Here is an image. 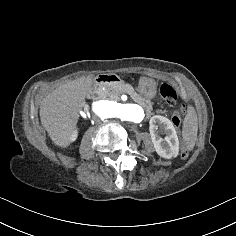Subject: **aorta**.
<instances>
[{
  "label": "aorta",
  "mask_w": 236,
  "mask_h": 236,
  "mask_svg": "<svg viewBox=\"0 0 236 236\" xmlns=\"http://www.w3.org/2000/svg\"><path fill=\"white\" fill-rule=\"evenodd\" d=\"M93 112L103 119L119 118L122 121L140 123L145 117L142 107L135 104H120L112 101H96L92 104Z\"/></svg>",
  "instance_id": "1"
}]
</instances>
